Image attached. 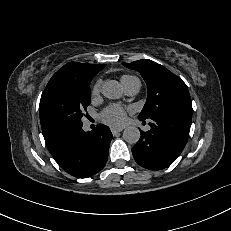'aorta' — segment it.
Returning <instances> with one entry per match:
<instances>
[{"label":"aorta","instance_id":"obj_1","mask_svg":"<svg viewBox=\"0 0 231 231\" xmlns=\"http://www.w3.org/2000/svg\"><path fill=\"white\" fill-rule=\"evenodd\" d=\"M102 94L108 99H119L123 95L120 84L115 80L106 81L102 88ZM123 138L130 144H135L140 139V131L135 126H129L123 131Z\"/></svg>","mask_w":231,"mask_h":231}]
</instances>
